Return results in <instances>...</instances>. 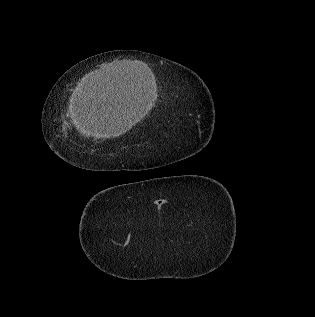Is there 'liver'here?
Masks as SVG:
<instances>
[{
  "label": "liver",
  "mask_w": 315,
  "mask_h": 317,
  "mask_svg": "<svg viewBox=\"0 0 315 317\" xmlns=\"http://www.w3.org/2000/svg\"><path fill=\"white\" fill-rule=\"evenodd\" d=\"M136 62H122L120 67L128 70ZM115 77H117L115 75ZM110 79L107 78L106 81ZM98 86H81L72 122L82 135L95 138L118 137L129 131L138 121L128 102L119 95L118 82L110 81Z\"/></svg>",
  "instance_id": "1"
}]
</instances>
